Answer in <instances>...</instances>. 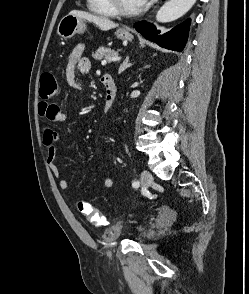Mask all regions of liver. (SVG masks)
I'll return each instance as SVG.
<instances>
[{
    "instance_id": "6515ba94",
    "label": "liver",
    "mask_w": 249,
    "mask_h": 294,
    "mask_svg": "<svg viewBox=\"0 0 249 294\" xmlns=\"http://www.w3.org/2000/svg\"><path fill=\"white\" fill-rule=\"evenodd\" d=\"M70 14L76 15L79 18H82L84 20L94 23L96 26L99 27V29L103 31H108L118 26V24L114 23L108 18L96 16L84 11L73 10L70 12Z\"/></svg>"
}]
</instances>
